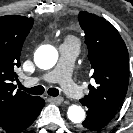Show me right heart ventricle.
<instances>
[{"mask_svg": "<svg viewBox=\"0 0 133 133\" xmlns=\"http://www.w3.org/2000/svg\"><path fill=\"white\" fill-rule=\"evenodd\" d=\"M66 43H77L78 44V41L74 37L69 36L66 38Z\"/></svg>", "mask_w": 133, "mask_h": 133, "instance_id": "e07e8e85", "label": "right heart ventricle"}]
</instances>
